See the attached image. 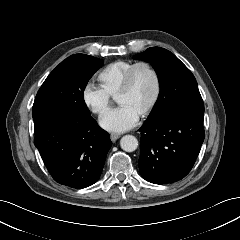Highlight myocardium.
Returning a JSON list of instances; mask_svg holds the SVG:
<instances>
[{
    "label": "myocardium",
    "instance_id": "obj_1",
    "mask_svg": "<svg viewBox=\"0 0 240 240\" xmlns=\"http://www.w3.org/2000/svg\"><path fill=\"white\" fill-rule=\"evenodd\" d=\"M141 67L147 68L153 74L154 79H155L154 96H153L151 102L149 103V105L139 115L140 117L144 118V117L148 116L154 110V108L156 107V105L160 99L161 93H162L161 76H160L158 70L152 65V63H150L148 61H138V62L134 63L130 67V69L127 71V73L124 77L122 86L116 96V99L118 100L119 97L128 93L131 90L134 74H135L136 70Z\"/></svg>",
    "mask_w": 240,
    "mask_h": 240
}]
</instances>
